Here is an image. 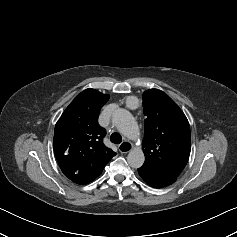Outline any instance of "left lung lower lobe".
I'll return each instance as SVG.
<instances>
[{"label":"left lung lower lobe","mask_w":237,"mask_h":237,"mask_svg":"<svg viewBox=\"0 0 237 237\" xmlns=\"http://www.w3.org/2000/svg\"><path fill=\"white\" fill-rule=\"evenodd\" d=\"M138 172L143 180L154 188H162L176 181V178L174 177L161 174L153 169L143 166L138 169Z\"/></svg>","instance_id":"obj_1"}]
</instances>
